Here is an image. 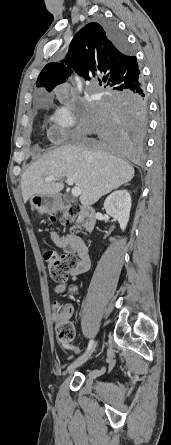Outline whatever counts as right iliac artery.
<instances>
[{
  "mask_svg": "<svg viewBox=\"0 0 171 445\" xmlns=\"http://www.w3.org/2000/svg\"><path fill=\"white\" fill-rule=\"evenodd\" d=\"M93 343H94V341H93V340H90L86 352H85L80 358H82L83 356H85V355L90 351V349H91L92 346H93Z\"/></svg>",
  "mask_w": 171,
  "mask_h": 445,
  "instance_id": "obj_1",
  "label": "right iliac artery"
}]
</instances>
